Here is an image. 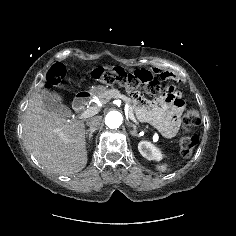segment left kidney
<instances>
[{"label": "left kidney", "mask_w": 236, "mask_h": 236, "mask_svg": "<svg viewBox=\"0 0 236 236\" xmlns=\"http://www.w3.org/2000/svg\"><path fill=\"white\" fill-rule=\"evenodd\" d=\"M138 150L141 153V155L148 160L159 161L162 159L163 156L158 148H156L152 143L147 141L139 142Z\"/></svg>", "instance_id": "5707ae66"}]
</instances>
